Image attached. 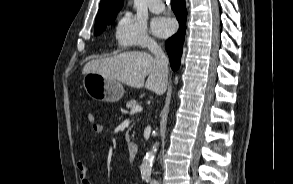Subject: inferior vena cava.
<instances>
[{
    "mask_svg": "<svg viewBox=\"0 0 293 184\" xmlns=\"http://www.w3.org/2000/svg\"><path fill=\"white\" fill-rule=\"evenodd\" d=\"M149 50L154 55L155 63L159 72L160 79L163 83V86L167 85V77H168V57L161 49L159 45L156 43L150 44ZM151 184H158L156 180H153Z\"/></svg>",
    "mask_w": 293,
    "mask_h": 184,
    "instance_id": "602c4592",
    "label": "inferior vena cava"
}]
</instances>
